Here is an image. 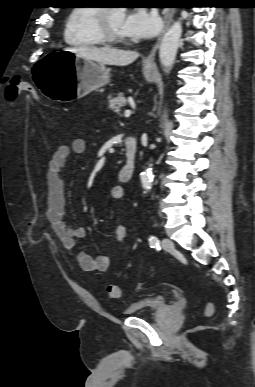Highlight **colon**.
Segmentation results:
<instances>
[{
  "label": "colon",
  "mask_w": 255,
  "mask_h": 387,
  "mask_svg": "<svg viewBox=\"0 0 255 387\" xmlns=\"http://www.w3.org/2000/svg\"><path fill=\"white\" fill-rule=\"evenodd\" d=\"M23 93H27L30 97L34 99L37 97L35 90L26 82H23L22 80L16 78H11L8 80L4 91L6 101H8L9 103H14ZM107 292L108 295L113 299L120 298L122 293L120 286L114 284H111L107 287ZM213 311V304L210 302L207 303L204 311L205 316L212 315Z\"/></svg>",
  "instance_id": "colon-1"
}]
</instances>
